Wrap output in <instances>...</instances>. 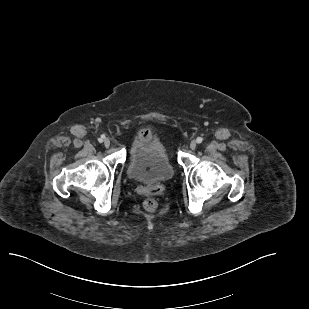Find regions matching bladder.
Masks as SVG:
<instances>
[{
  "label": "bladder",
  "mask_w": 309,
  "mask_h": 309,
  "mask_svg": "<svg viewBox=\"0 0 309 309\" xmlns=\"http://www.w3.org/2000/svg\"><path fill=\"white\" fill-rule=\"evenodd\" d=\"M174 167L162 142L156 138H141L129 150L128 177L138 183L152 184L171 180Z\"/></svg>",
  "instance_id": "bladder-1"
}]
</instances>
